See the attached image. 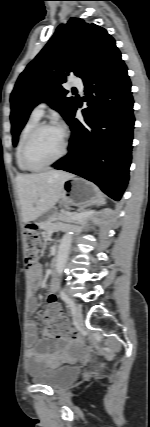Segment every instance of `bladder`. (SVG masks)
I'll return each instance as SVG.
<instances>
[{
	"label": "bladder",
	"mask_w": 150,
	"mask_h": 427,
	"mask_svg": "<svg viewBox=\"0 0 150 427\" xmlns=\"http://www.w3.org/2000/svg\"><path fill=\"white\" fill-rule=\"evenodd\" d=\"M80 373L81 369L78 366H61L44 374L34 376L32 381L36 384L46 385L54 390H58L75 381Z\"/></svg>",
	"instance_id": "31cf9c89"
}]
</instances>
